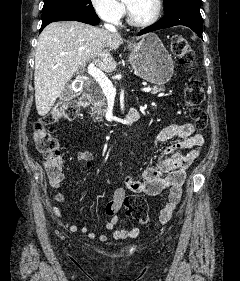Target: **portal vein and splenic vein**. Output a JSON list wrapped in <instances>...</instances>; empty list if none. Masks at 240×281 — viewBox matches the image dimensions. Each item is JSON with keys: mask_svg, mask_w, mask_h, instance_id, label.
Listing matches in <instances>:
<instances>
[{"mask_svg": "<svg viewBox=\"0 0 240 281\" xmlns=\"http://www.w3.org/2000/svg\"><path fill=\"white\" fill-rule=\"evenodd\" d=\"M87 72L92 76L103 91L107 98H114L116 96V89L113 87L112 82L105 76V74L98 68L95 67L94 63H90ZM143 92L151 91V87H144L141 89Z\"/></svg>", "mask_w": 240, "mask_h": 281, "instance_id": "1", "label": "portal vein and splenic vein"}]
</instances>
